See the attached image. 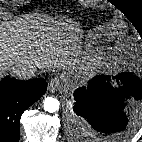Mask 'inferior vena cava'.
<instances>
[{"label": "inferior vena cava", "mask_w": 142, "mask_h": 142, "mask_svg": "<svg viewBox=\"0 0 142 142\" xmlns=\"http://www.w3.org/2000/svg\"><path fill=\"white\" fill-rule=\"evenodd\" d=\"M15 74L22 80L31 79L35 77V72L37 70L33 63L18 64L16 65Z\"/></svg>", "instance_id": "602c4592"}]
</instances>
